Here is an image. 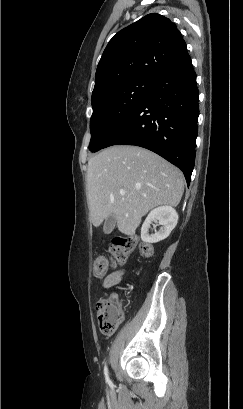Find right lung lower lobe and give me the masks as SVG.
Masks as SVG:
<instances>
[{"label":"right lung lower lobe","instance_id":"right-lung-lower-lobe-1","mask_svg":"<svg viewBox=\"0 0 243 409\" xmlns=\"http://www.w3.org/2000/svg\"><path fill=\"white\" fill-rule=\"evenodd\" d=\"M198 98L196 74L187 52L156 80L106 147L128 144L149 149L179 167L189 185L195 161Z\"/></svg>","mask_w":243,"mask_h":409}]
</instances>
